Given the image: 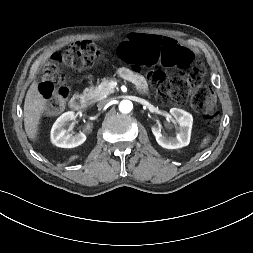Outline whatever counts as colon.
Wrapping results in <instances>:
<instances>
[{"mask_svg":"<svg viewBox=\"0 0 253 253\" xmlns=\"http://www.w3.org/2000/svg\"><path fill=\"white\" fill-rule=\"evenodd\" d=\"M108 57L107 51L88 41L72 43L64 53L53 54L44 67L39 84L40 94L50 101L48 110L60 109L69 94L63 71L65 66L88 67ZM117 57L135 68L160 66L168 70L179 69L178 74L171 77L162 71L149 72V82L156 87L164 102L181 104L190 97L193 108L207 122L215 120L216 97L203 84L204 69L181 43L156 34L133 35L119 46Z\"/></svg>","mask_w":253,"mask_h":253,"instance_id":"obj_1","label":"colon"}]
</instances>
